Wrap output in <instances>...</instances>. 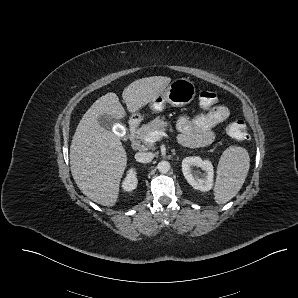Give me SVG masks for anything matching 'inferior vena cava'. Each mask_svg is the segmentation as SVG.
Masks as SVG:
<instances>
[{"mask_svg":"<svg viewBox=\"0 0 298 298\" xmlns=\"http://www.w3.org/2000/svg\"><path fill=\"white\" fill-rule=\"evenodd\" d=\"M154 154L152 152H137L135 160L140 163H149L153 160Z\"/></svg>","mask_w":298,"mask_h":298,"instance_id":"1","label":"inferior vena cava"}]
</instances>
